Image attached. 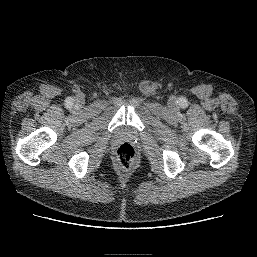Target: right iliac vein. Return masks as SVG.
Segmentation results:
<instances>
[{"mask_svg":"<svg viewBox=\"0 0 257 257\" xmlns=\"http://www.w3.org/2000/svg\"><path fill=\"white\" fill-rule=\"evenodd\" d=\"M83 104V98L82 97H79L77 99V105H82Z\"/></svg>","mask_w":257,"mask_h":257,"instance_id":"1","label":"right iliac vein"}]
</instances>
